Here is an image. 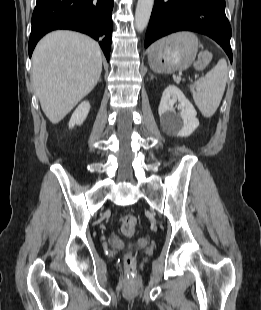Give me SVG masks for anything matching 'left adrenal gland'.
<instances>
[{
    "mask_svg": "<svg viewBox=\"0 0 261 310\" xmlns=\"http://www.w3.org/2000/svg\"><path fill=\"white\" fill-rule=\"evenodd\" d=\"M149 75H150V78H151V79H153V78H154V75H153V74H151V73H150Z\"/></svg>",
    "mask_w": 261,
    "mask_h": 310,
    "instance_id": "obj_1",
    "label": "left adrenal gland"
}]
</instances>
